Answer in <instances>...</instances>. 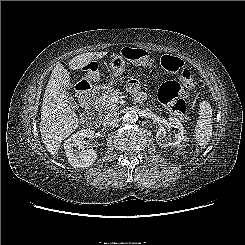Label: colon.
Returning a JSON list of instances; mask_svg holds the SVG:
<instances>
[{
    "label": "colon",
    "mask_w": 245,
    "mask_h": 245,
    "mask_svg": "<svg viewBox=\"0 0 245 245\" xmlns=\"http://www.w3.org/2000/svg\"><path fill=\"white\" fill-rule=\"evenodd\" d=\"M122 54L142 64L151 66L153 63L149 53L142 49H124ZM160 64L166 71L179 75V81L171 80L161 85L158 91L160 101L169 105L175 115L189 119L187 103L182 96L188 95L194 88L191 69L180 58L171 55H163Z\"/></svg>",
    "instance_id": "obj_1"
}]
</instances>
